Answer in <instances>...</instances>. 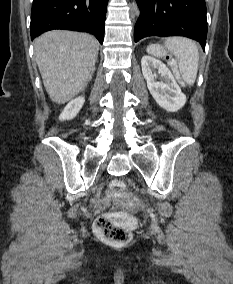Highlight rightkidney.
Masks as SVG:
<instances>
[{"mask_svg":"<svg viewBox=\"0 0 233 284\" xmlns=\"http://www.w3.org/2000/svg\"><path fill=\"white\" fill-rule=\"evenodd\" d=\"M84 102H85V99L82 96L77 97V98L73 99L72 101H70L66 105V107L64 108L62 113L60 114L59 120L64 121V120L73 119L79 113Z\"/></svg>","mask_w":233,"mask_h":284,"instance_id":"right-kidney-1","label":"right kidney"}]
</instances>
